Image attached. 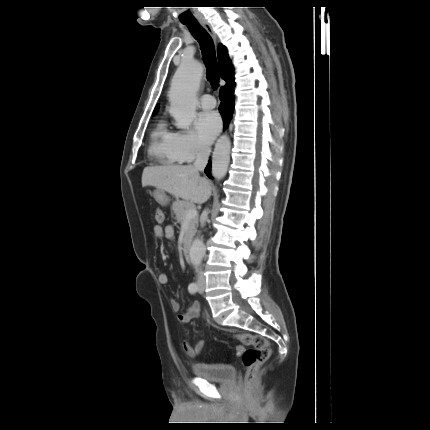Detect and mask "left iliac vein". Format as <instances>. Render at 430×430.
Segmentation results:
<instances>
[{
    "mask_svg": "<svg viewBox=\"0 0 430 430\" xmlns=\"http://www.w3.org/2000/svg\"><path fill=\"white\" fill-rule=\"evenodd\" d=\"M204 289H205V280H204V278H201L198 281V292L200 294H203L204 293Z\"/></svg>",
    "mask_w": 430,
    "mask_h": 430,
    "instance_id": "4c4485c4",
    "label": "left iliac vein"
}]
</instances>
